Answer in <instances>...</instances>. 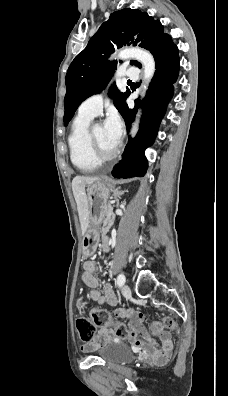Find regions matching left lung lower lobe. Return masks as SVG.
I'll list each match as a JSON object with an SVG mask.
<instances>
[{"label":"left lung lower lobe","mask_w":228,"mask_h":396,"mask_svg":"<svg viewBox=\"0 0 228 396\" xmlns=\"http://www.w3.org/2000/svg\"><path fill=\"white\" fill-rule=\"evenodd\" d=\"M156 62V71L150 83L149 90L143 101V115L136 137L126 146L123 158L114 167L112 175L115 178L143 177L148 168L145 150L154 143L158 127L170 101L179 71L178 48L168 34L155 38L149 45ZM138 100L134 109H128L125 104L120 112L125 120L127 130L133 121Z\"/></svg>","instance_id":"1"}]
</instances>
